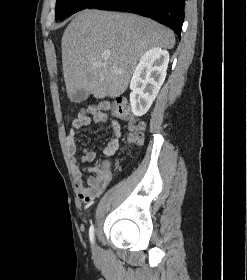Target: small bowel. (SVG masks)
Here are the masks:
<instances>
[{"mask_svg":"<svg viewBox=\"0 0 247 280\" xmlns=\"http://www.w3.org/2000/svg\"><path fill=\"white\" fill-rule=\"evenodd\" d=\"M92 123L108 124L110 136L107 145L103 148V152L107 156H111L117 151L119 147V139L121 137L120 122L105 113H96L93 118H78L71 123L70 132L66 139L67 149L70 156L76 192L79 198L86 203L99 197L111 181L110 172H108L107 176L104 178H99L93 175L84 179L83 173L80 169V163L93 162L97 157V153L93 148L82 149L80 154H78L79 146L76 137L77 131L91 126Z\"/></svg>","mask_w":247,"mask_h":280,"instance_id":"c3829d8e","label":"small bowel"}]
</instances>
